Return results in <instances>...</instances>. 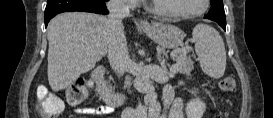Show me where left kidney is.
<instances>
[{"mask_svg": "<svg viewBox=\"0 0 273 118\" xmlns=\"http://www.w3.org/2000/svg\"><path fill=\"white\" fill-rule=\"evenodd\" d=\"M192 93L195 94L196 91H192ZM205 109V103L199 98H195L187 103L185 113L187 115V118H202Z\"/></svg>", "mask_w": 273, "mask_h": 118, "instance_id": "obj_1", "label": "left kidney"}]
</instances>
